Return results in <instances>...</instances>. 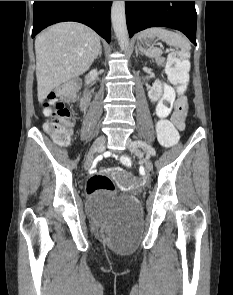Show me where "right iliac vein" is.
Masks as SVG:
<instances>
[{"label":"right iliac vein","mask_w":233,"mask_h":295,"mask_svg":"<svg viewBox=\"0 0 233 295\" xmlns=\"http://www.w3.org/2000/svg\"><path fill=\"white\" fill-rule=\"evenodd\" d=\"M106 142V137L104 135L98 137L94 142L93 146L90 149V152L85 160L84 168L88 169L97 153H100L104 150V144Z\"/></svg>","instance_id":"63e3f726"}]
</instances>
